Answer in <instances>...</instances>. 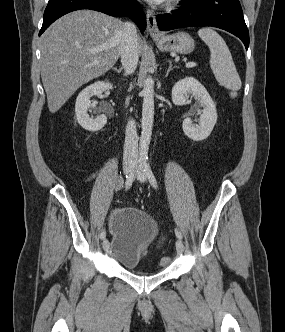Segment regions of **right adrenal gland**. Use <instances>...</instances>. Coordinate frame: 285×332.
<instances>
[{
    "label": "right adrenal gland",
    "mask_w": 285,
    "mask_h": 332,
    "mask_svg": "<svg viewBox=\"0 0 285 332\" xmlns=\"http://www.w3.org/2000/svg\"><path fill=\"white\" fill-rule=\"evenodd\" d=\"M114 70H115L117 73H121V72H122V68H119V69L114 68Z\"/></svg>",
    "instance_id": "right-adrenal-gland-1"
}]
</instances>
